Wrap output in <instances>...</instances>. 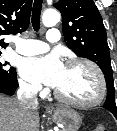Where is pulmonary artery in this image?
Segmentation results:
<instances>
[{"instance_id": "pulmonary-artery-1", "label": "pulmonary artery", "mask_w": 117, "mask_h": 131, "mask_svg": "<svg viewBox=\"0 0 117 131\" xmlns=\"http://www.w3.org/2000/svg\"><path fill=\"white\" fill-rule=\"evenodd\" d=\"M46 39L50 43H55L60 40L59 30L52 28L46 34ZM49 49L47 43L35 39H18L16 40V51L19 54L31 56L46 52Z\"/></svg>"}]
</instances>
